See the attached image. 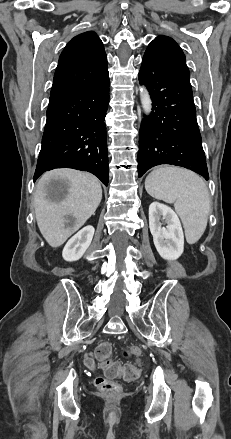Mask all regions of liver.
<instances>
[{"instance_id": "1", "label": "liver", "mask_w": 231, "mask_h": 439, "mask_svg": "<svg viewBox=\"0 0 231 439\" xmlns=\"http://www.w3.org/2000/svg\"><path fill=\"white\" fill-rule=\"evenodd\" d=\"M53 180L66 182L62 195L50 192ZM101 199L100 182L89 173L66 168L44 173L36 185L34 207L37 225L48 244L61 246L95 213ZM67 216L73 217L72 225H68Z\"/></svg>"}]
</instances>
